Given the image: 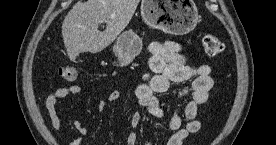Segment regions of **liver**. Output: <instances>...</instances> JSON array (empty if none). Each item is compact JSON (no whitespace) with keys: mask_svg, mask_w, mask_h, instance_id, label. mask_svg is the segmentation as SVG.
Segmentation results:
<instances>
[{"mask_svg":"<svg viewBox=\"0 0 276 145\" xmlns=\"http://www.w3.org/2000/svg\"><path fill=\"white\" fill-rule=\"evenodd\" d=\"M140 0L78 1L62 23V37L73 61L80 53H98L109 46L132 19ZM106 29L98 30L100 23Z\"/></svg>","mask_w":276,"mask_h":145,"instance_id":"1","label":"liver"}]
</instances>
